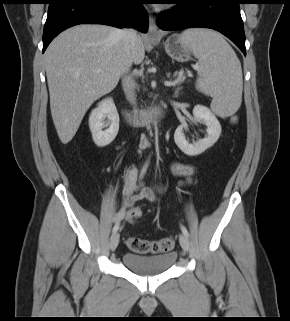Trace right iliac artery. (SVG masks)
<instances>
[{
    "label": "right iliac artery",
    "mask_w": 290,
    "mask_h": 321,
    "mask_svg": "<svg viewBox=\"0 0 290 321\" xmlns=\"http://www.w3.org/2000/svg\"><path fill=\"white\" fill-rule=\"evenodd\" d=\"M148 164H149V161H147V162L145 163V165H144V167H143V169H142L141 175H143V174L146 172V169H147V167H148ZM119 225H120V221H117L116 224H115V226L113 227V230H112L113 234L118 231Z\"/></svg>",
    "instance_id": "1"
}]
</instances>
